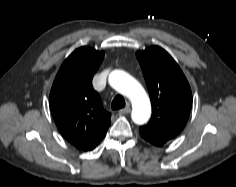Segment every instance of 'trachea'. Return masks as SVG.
I'll return each instance as SVG.
<instances>
[{"label":"trachea","mask_w":236,"mask_h":187,"mask_svg":"<svg viewBox=\"0 0 236 187\" xmlns=\"http://www.w3.org/2000/svg\"><path fill=\"white\" fill-rule=\"evenodd\" d=\"M113 110H118L125 107V100L121 95L114 97L111 105Z\"/></svg>","instance_id":"obj_1"}]
</instances>
